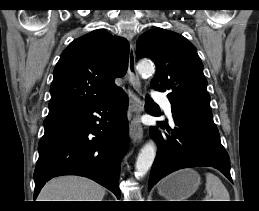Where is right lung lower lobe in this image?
Instances as JSON below:
<instances>
[{
	"mask_svg": "<svg viewBox=\"0 0 259 211\" xmlns=\"http://www.w3.org/2000/svg\"><path fill=\"white\" fill-rule=\"evenodd\" d=\"M127 105L122 91L89 108L46 117L34 171V199L59 175L88 177L120 198V159L128 146Z\"/></svg>",
	"mask_w": 259,
	"mask_h": 211,
	"instance_id": "1",
	"label": "right lung lower lobe"
}]
</instances>
